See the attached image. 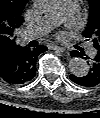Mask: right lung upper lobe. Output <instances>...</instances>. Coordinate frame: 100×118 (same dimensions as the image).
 <instances>
[{
    "label": "right lung upper lobe",
    "instance_id": "right-lung-upper-lobe-1",
    "mask_svg": "<svg viewBox=\"0 0 100 118\" xmlns=\"http://www.w3.org/2000/svg\"><path fill=\"white\" fill-rule=\"evenodd\" d=\"M28 0H0V59L12 56L21 46L15 43L14 30L22 25Z\"/></svg>",
    "mask_w": 100,
    "mask_h": 118
}]
</instances>
